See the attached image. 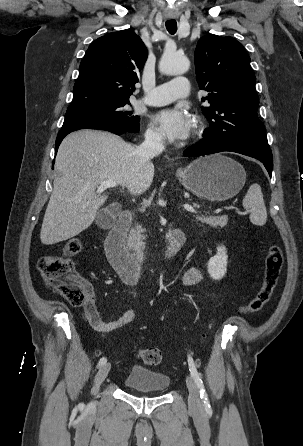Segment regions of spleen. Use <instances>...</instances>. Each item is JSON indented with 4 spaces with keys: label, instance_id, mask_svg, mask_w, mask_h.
<instances>
[{
    "label": "spleen",
    "instance_id": "1",
    "mask_svg": "<svg viewBox=\"0 0 303 446\" xmlns=\"http://www.w3.org/2000/svg\"><path fill=\"white\" fill-rule=\"evenodd\" d=\"M243 207L250 212V221L254 225L263 226L266 223L267 211L261 187L258 184L249 187L243 199Z\"/></svg>",
    "mask_w": 303,
    "mask_h": 446
}]
</instances>
